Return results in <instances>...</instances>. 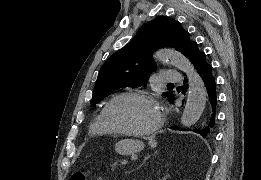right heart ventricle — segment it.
<instances>
[{"instance_id": "obj_1", "label": "right heart ventricle", "mask_w": 261, "mask_h": 180, "mask_svg": "<svg viewBox=\"0 0 261 180\" xmlns=\"http://www.w3.org/2000/svg\"><path fill=\"white\" fill-rule=\"evenodd\" d=\"M88 135L91 139L99 142H107L116 139L104 126L101 111L92 119L88 127Z\"/></svg>"}]
</instances>
